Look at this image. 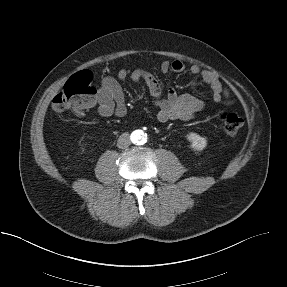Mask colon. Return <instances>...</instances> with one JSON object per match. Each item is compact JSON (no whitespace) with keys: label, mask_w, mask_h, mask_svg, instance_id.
<instances>
[{"label":"colon","mask_w":287,"mask_h":287,"mask_svg":"<svg viewBox=\"0 0 287 287\" xmlns=\"http://www.w3.org/2000/svg\"><path fill=\"white\" fill-rule=\"evenodd\" d=\"M97 93L92 73L87 70L79 71L68 79L54 97L52 108L57 113L69 109L81 112L95 103ZM216 117L220 129L229 135L236 134L243 126V119L236 113L220 111Z\"/></svg>","instance_id":"5ec220e1"}]
</instances>
